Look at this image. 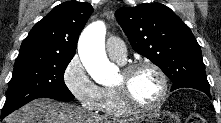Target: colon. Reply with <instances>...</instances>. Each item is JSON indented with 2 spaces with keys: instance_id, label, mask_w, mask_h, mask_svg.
Wrapping results in <instances>:
<instances>
[{
  "instance_id": "colon-1",
  "label": "colon",
  "mask_w": 221,
  "mask_h": 123,
  "mask_svg": "<svg viewBox=\"0 0 221 123\" xmlns=\"http://www.w3.org/2000/svg\"><path fill=\"white\" fill-rule=\"evenodd\" d=\"M204 117L197 113H191L186 118V123H205Z\"/></svg>"
}]
</instances>
